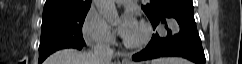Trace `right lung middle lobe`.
I'll return each instance as SVG.
<instances>
[{
    "instance_id": "1",
    "label": "right lung middle lobe",
    "mask_w": 242,
    "mask_h": 64,
    "mask_svg": "<svg viewBox=\"0 0 242 64\" xmlns=\"http://www.w3.org/2000/svg\"><path fill=\"white\" fill-rule=\"evenodd\" d=\"M87 12L88 10L43 14L39 64L57 50L81 49L85 45L82 26Z\"/></svg>"
}]
</instances>
